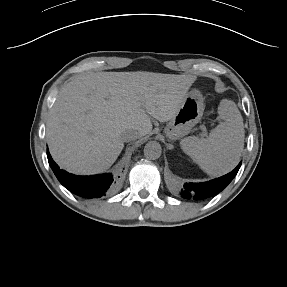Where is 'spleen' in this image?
<instances>
[{"mask_svg": "<svg viewBox=\"0 0 287 287\" xmlns=\"http://www.w3.org/2000/svg\"><path fill=\"white\" fill-rule=\"evenodd\" d=\"M218 113L224 122L212 129L207 138L189 136L181 140L183 151L213 176L224 175L235 168L245 139L243 118L233 101H221Z\"/></svg>", "mask_w": 287, "mask_h": 287, "instance_id": "spleen-1", "label": "spleen"}]
</instances>
